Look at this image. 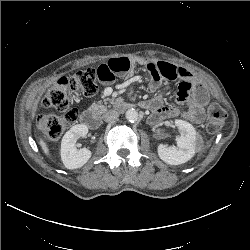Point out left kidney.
Listing matches in <instances>:
<instances>
[{
    "instance_id": "left-kidney-1",
    "label": "left kidney",
    "mask_w": 250,
    "mask_h": 250,
    "mask_svg": "<svg viewBox=\"0 0 250 250\" xmlns=\"http://www.w3.org/2000/svg\"><path fill=\"white\" fill-rule=\"evenodd\" d=\"M175 126L180 135L176 138V146L160 144L158 156L162 161L170 165H179L189 161L195 154L198 134L195 128L184 120L176 119Z\"/></svg>"
}]
</instances>
